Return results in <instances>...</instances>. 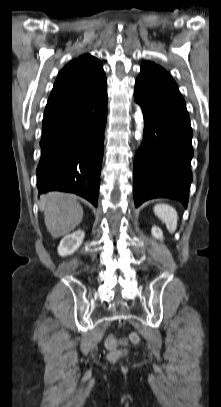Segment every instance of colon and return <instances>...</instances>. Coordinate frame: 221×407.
I'll list each match as a JSON object with an SVG mask.
<instances>
[{"instance_id": "5ec220e1", "label": "colon", "mask_w": 221, "mask_h": 407, "mask_svg": "<svg viewBox=\"0 0 221 407\" xmlns=\"http://www.w3.org/2000/svg\"><path fill=\"white\" fill-rule=\"evenodd\" d=\"M129 340L134 344H137L140 342V338L138 337L137 334H134V333L129 335ZM105 347L110 351L109 359L111 361H116L127 355L126 350L117 349L118 340L114 337H109L105 340Z\"/></svg>"}]
</instances>
